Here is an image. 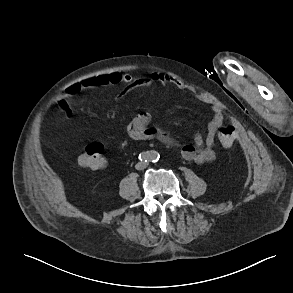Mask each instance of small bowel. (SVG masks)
<instances>
[{"label":"small bowel","mask_w":293,"mask_h":293,"mask_svg":"<svg viewBox=\"0 0 293 293\" xmlns=\"http://www.w3.org/2000/svg\"><path fill=\"white\" fill-rule=\"evenodd\" d=\"M121 83H126L134 87H142L151 84H172L180 90L185 89V86L180 81L161 72H154L148 80L136 83H133L132 77L129 74L113 72L89 77L78 83L69 85L62 93L56 96L55 102L66 116H70L72 114L70 101L81 91L95 87H115ZM223 121L224 116L221 110L214 107L213 117L208 124L207 135L204 137L202 134H197L193 143L182 145L180 149L183 158L199 164L212 162L216 157L213 149L216 131L223 124ZM150 122L151 118L148 114L141 113L137 115L126 127L128 135L134 140L157 139L167 145H176L175 141L168 133L152 127Z\"/></svg>","instance_id":"obj_1"}]
</instances>
